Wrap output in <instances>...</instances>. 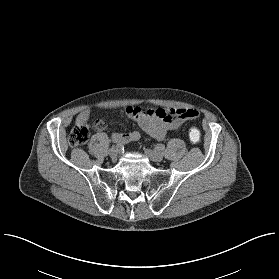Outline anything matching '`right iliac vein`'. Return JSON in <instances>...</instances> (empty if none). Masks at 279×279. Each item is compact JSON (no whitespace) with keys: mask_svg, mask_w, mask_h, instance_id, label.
I'll return each mask as SVG.
<instances>
[{"mask_svg":"<svg viewBox=\"0 0 279 279\" xmlns=\"http://www.w3.org/2000/svg\"><path fill=\"white\" fill-rule=\"evenodd\" d=\"M118 155V149H116L115 147H112L110 150H109V156L112 158V159H115Z\"/></svg>","mask_w":279,"mask_h":279,"instance_id":"63e3f726","label":"right iliac vein"}]
</instances>
